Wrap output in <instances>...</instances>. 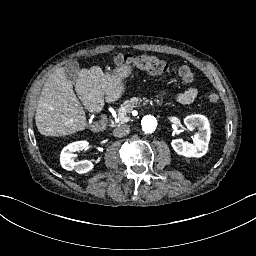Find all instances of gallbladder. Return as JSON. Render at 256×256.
Here are the masks:
<instances>
[{"label": "gallbladder", "instance_id": "bac80fb5", "mask_svg": "<svg viewBox=\"0 0 256 256\" xmlns=\"http://www.w3.org/2000/svg\"><path fill=\"white\" fill-rule=\"evenodd\" d=\"M65 76L69 81L73 82V86L75 85L76 80L79 78L80 67L79 63L75 60L69 61L65 67Z\"/></svg>", "mask_w": 256, "mask_h": 256}]
</instances>
